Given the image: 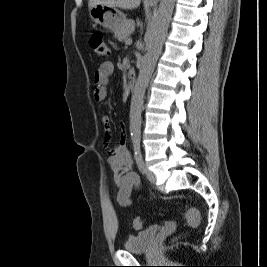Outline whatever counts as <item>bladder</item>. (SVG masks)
I'll return each instance as SVG.
<instances>
[{
    "label": "bladder",
    "instance_id": "obj_1",
    "mask_svg": "<svg viewBox=\"0 0 267 267\" xmlns=\"http://www.w3.org/2000/svg\"><path fill=\"white\" fill-rule=\"evenodd\" d=\"M159 231L160 226H150L144 230L137 232L136 234L128 236L124 242L123 247L126 251L133 253L145 252L152 246Z\"/></svg>",
    "mask_w": 267,
    "mask_h": 267
}]
</instances>
